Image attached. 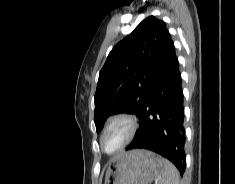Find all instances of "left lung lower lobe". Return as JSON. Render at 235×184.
Returning a JSON list of instances; mask_svg holds the SVG:
<instances>
[{
	"instance_id": "1",
	"label": "left lung lower lobe",
	"mask_w": 235,
	"mask_h": 184,
	"mask_svg": "<svg viewBox=\"0 0 235 184\" xmlns=\"http://www.w3.org/2000/svg\"><path fill=\"white\" fill-rule=\"evenodd\" d=\"M182 97L179 63L169 34L139 114L140 128L126 150L156 152L170 160L181 175L186 166Z\"/></svg>"
}]
</instances>
